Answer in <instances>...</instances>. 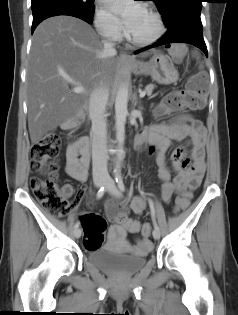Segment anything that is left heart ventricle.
I'll use <instances>...</instances> for the list:
<instances>
[{"mask_svg":"<svg viewBox=\"0 0 238 315\" xmlns=\"http://www.w3.org/2000/svg\"><path fill=\"white\" fill-rule=\"evenodd\" d=\"M128 32L132 37L137 39L149 38L156 32V22L154 18L143 9Z\"/></svg>","mask_w":238,"mask_h":315,"instance_id":"b2bd125f","label":"left heart ventricle"}]
</instances>
